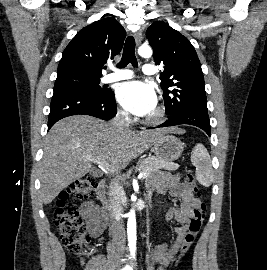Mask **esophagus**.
I'll return each instance as SVG.
<instances>
[{
	"instance_id": "34e87169",
	"label": "esophagus",
	"mask_w": 267,
	"mask_h": 270,
	"mask_svg": "<svg viewBox=\"0 0 267 270\" xmlns=\"http://www.w3.org/2000/svg\"><path fill=\"white\" fill-rule=\"evenodd\" d=\"M142 33L139 31L135 34V41H136V45L139 46L142 42Z\"/></svg>"
}]
</instances>
